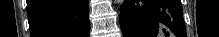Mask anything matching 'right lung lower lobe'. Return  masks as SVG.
<instances>
[{
  "mask_svg": "<svg viewBox=\"0 0 219 37\" xmlns=\"http://www.w3.org/2000/svg\"><path fill=\"white\" fill-rule=\"evenodd\" d=\"M31 37H89V0H27Z\"/></svg>",
  "mask_w": 219,
  "mask_h": 37,
  "instance_id": "98d812e1",
  "label": "right lung lower lobe"
}]
</instances>
